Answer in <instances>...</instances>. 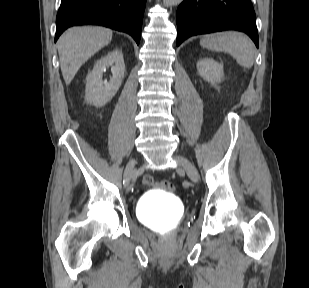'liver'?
<instances>
[{
    "instance_id": "liver-1",
    "label": "liver",
    "mask_w": 309,
    "mask_h": 288,
    "mask_svg": "<svg viewBox=\"0 0 309 288\" xmlns=\"http://www.w3.org/2000/svg\"><path fill=\"white\" fill-rule=\"evenodd\" d=\"M113 33L104 27H72L58 40V53L65 83H71L80 67L101 48L108 45Z\"/></svg>"
}]
</instances>
